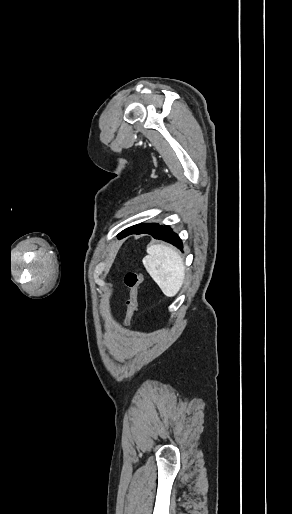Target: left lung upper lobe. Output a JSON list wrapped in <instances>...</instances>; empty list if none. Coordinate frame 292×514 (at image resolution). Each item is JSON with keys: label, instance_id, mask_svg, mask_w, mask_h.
<instances>
[{"label": "left lung upper lobe", "instance_id": "left-lung-upper-lobe-1", "mask_svg": "<svg viewBox=\"0 0 292 514\" xmlns=\"http://www.w3.org/2000/svg\"><path fill=\"white\" fill-rule=\"evenodd\" d=\"M152 224L153 223L139 224V225L131 226V227L123 230L118 236L119 237H125V236H128V235L133 234V233L142 232V231L148 229Z\"/></svg>", "mask_w": 292, "mask_h": 514}]
</instances>
